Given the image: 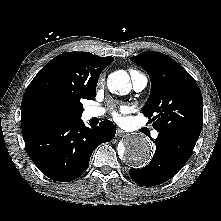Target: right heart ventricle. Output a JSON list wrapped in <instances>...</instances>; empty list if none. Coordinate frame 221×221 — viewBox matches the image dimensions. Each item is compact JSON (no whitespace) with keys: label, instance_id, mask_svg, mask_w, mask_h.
I'll return each mask as SVG.
<instances>
[{"label":"right heart ventricle","instance_id":"obj_1","mask_svg":"<svg viewBox=\"0 0 221 221\" xmlns=\"http://www.w3.org/2000/svg\"><path fill=\"white\" fill-rule=\"evenodd\" d=\"M135 73H138V72L135 71V70L130 71V74H131V75H133V74H135Z\"/></svg>","mask_w":221,"mask_h":221}]
</instances>
